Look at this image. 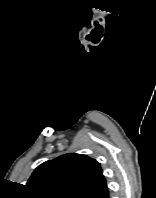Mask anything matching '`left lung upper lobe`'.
Listing matches in <instances>:
<instances>
[{"label": "left lung upper lobe", "mask_w": 156, "mask_h": 198, "mask_svg": "<svg viewBox=\"0 0 156 198\" xmlns=\"http://www.w3.org/2000/svg\"><path fill=\"white\" fill-rule=\"evenodd\" d=\"M26 185L34 198H97L107 189L100 164L76 153L42 163Z\"/></svg>", "instance_id": "1"}]
</instances>
